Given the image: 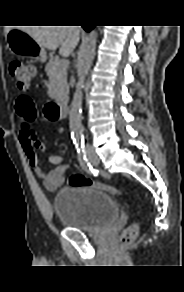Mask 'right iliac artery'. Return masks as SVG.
I'll return each instance as SVG.
<instances>
[{
  "mask_svg": "<svg viewBox=\"0 0 184 292\" xmlns=\"http://www.w3.org/2000/svg\"><path fill=\"white\" fill-rule=\"evenodd\" d=\"M77 153H78V160H79V163H80L81 167H82L87 173L96 176V175H97V171L92 167V165H91L90 162L88 161L84 149H78V150H77Z\"/></svg>",
  "mask_w": 184,
  "mask_h": 292,
  "instance_id": "1",
  "label": "right iliac artery"
}]
</instances>
